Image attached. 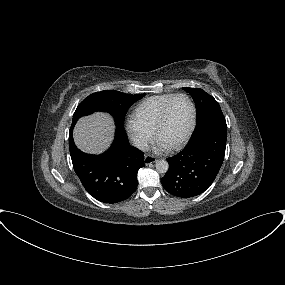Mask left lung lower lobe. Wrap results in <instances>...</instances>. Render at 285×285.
Returning a JSON list of instances; mask_svg holds the SVG:
<instances>
[{
	"label": "left lung lower lobe",
	"instance_id": "obj_1",
	"mask_svg": "<svg viewBox=\"0 0 285 285\" xmlns=\"http://www.w3.org/2000/svg\"><path fill=\"white\" fill-rule=\"evenodd\" d=\"M226 138L227 125L222 111L208 113L196 124L184 150L167 159L169 170L161 179L165 190L181 198L203 193L223 163Z\"/></svg>",
	"mask_w": 285,
	"mask_h": 285
}]
</instances>
